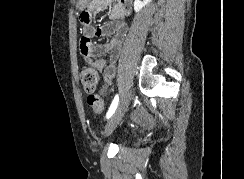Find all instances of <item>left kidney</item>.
Instances as JSON below:
<instances>
[{"mask_svg":"<svg viewBox=\"0 0 244 179\" xmlns=\"http://www.w3.org/2000/svg\"><path fill=\"white\" fill-rule=\"evenodd\" d=\"M149 2H151V0H143V2H141V0H135L134 2L135 12H140V10H142V8H145V6L149 4Z\"/></svg>","mask_w":244,"mask_h":179,"instance_id":"5707ae66","label":"left kidney"}]
</instances>
